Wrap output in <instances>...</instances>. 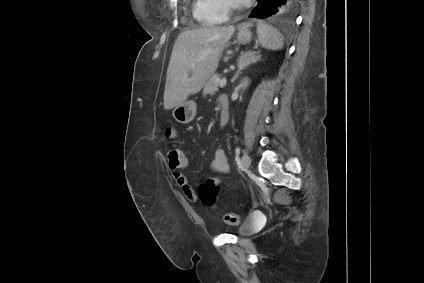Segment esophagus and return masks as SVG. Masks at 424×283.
<instances>
[{"instance_id":"obj_1","label":"esophagus","mask_w":424,"mask_h":283,"mask_svg":"<svg viewBox=\"0 0 424 283\" xmlns=\"http://www.w3.org/2000/svg\"><path fill=\"white\" fill-rule=\"evenodd\" d=\"M248 25L243 26L240 30H246Z\"/></svg>"}]
</instances>
